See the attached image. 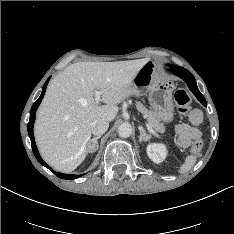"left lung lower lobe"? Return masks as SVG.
Masks as SVG:
<instances>
[{
    "label": "left lung lower lobe",
    "instance_id": "1",
    "mask_svg": "<svg viewBox=\"0 0 234 234\" xmlns=\"http://www.w3.org/2000/svg\"><path fill=\"white\" fill-rule=\"evenodd\" d=\"M170 70L177 76L181 77L185 82L187 83L188 87L190 90L194 93V95L197 97V99L204 105L206 106V100L203 97V95L200 93L198 90V87L196 85V81L194 76L186 69L175 66V65H169Z\"/></svg>",
    "mask_w": 234,
    "mask_h": 234
}]
</instances>
